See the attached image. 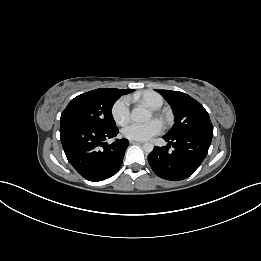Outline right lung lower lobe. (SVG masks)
Here are the masks:
<instances>
[{
  "instance_id": "right-lung-lower-lobe-1",
  "label": "right lung lower lobe",
  "mask_w": 261,
  "mask_h": 261,
  "mask_svg": "<svg viewBox=\"0 0 261 261\" xmlns=\"http://www.w3.org/2000/svg\"><path fill=\"white\" fill-rule=\"evenodd\" d=\"M118 128L100 130L72 122L60 123V139L66 157L75 170L89 181H102L120 169L129 141L118 139L104 142L117 135Z\"/></svg>"
}]
</instances>
